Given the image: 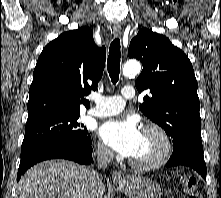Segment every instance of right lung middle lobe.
Listing matches in <instances>:
<instances>
[{"mask_svg":"<svg viewBox=\"0 0 221 198\" xmlns=\"http://www.w3.org/2000/svg\"><path fill=\"white\" fill-rule=\"evenodd\" d=\"M80 112L52 114L26 123L21 153L38 144L53 140L87 143L91 137L83 124L77 122Z\"/></svg>","mask_w":221,"mask_h":198,"instance_id":"right-lung-middle-lobe-1","label":"right lung middle lobe"}]
</instances>
